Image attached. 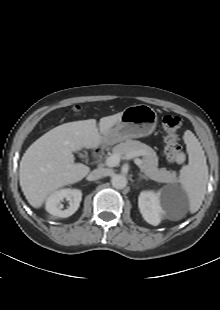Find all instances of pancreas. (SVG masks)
<instances>
[{
    "mask_svg": "<svg viewBox=\"0 0 220 310\" xmlns=\"http://www.w3.org/2000/svg\"><path fill=\"white\" fill-rule=\"evenodd\" d=\"M113 153L120 156L130 157L143 156L141 171L150 179L160 183H175L177 181L176 172L168 171L165 168H158V157L156 152L148 145L140 141L127 139L112 149Z\"/></svg>",
    "mask_w": 220,
    "mask_h": 310,
    "instance_id": "cf45deb5",
    "label": "pancreas"
}]
</instances>
